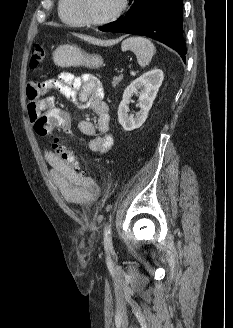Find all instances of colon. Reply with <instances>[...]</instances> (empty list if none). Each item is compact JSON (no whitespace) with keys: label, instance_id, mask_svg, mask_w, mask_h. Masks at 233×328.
<instances>
[{"label":"colon","instance_id":"colon-1","mask_svg":"<svg viewBox=\"0 0 233 328\" xmlns=\"http://www.w3.org/2000/svg\"><path fill=\"white\" fill-rule=\"evenodd\" d=\"M46 55L45 48L40 44H35L32 48L30 67L35 69L39 67L44 61ZM71 125V117L69 113L61 108H55L40 115L34 121V129L40 136H49L53 138V150L54 153L70 165L75 171H81V166L74 156V154L68 149V147L62 142L59 133H65L69 130Z\"/></svg>","mask_w":233,"mask_h":328}]
</instances>
